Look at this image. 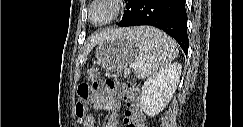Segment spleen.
<instances>
[{"label": "spleen", "instance_id": "1", "mask_svg": "<svg viewBox=\"0 0 243 127\" xmlns=\"http://www.w3.org/2000/svg\"><path fill=\"white\" fill-rule=\"evenodd\" d=\"M128 37L133 39L139 50V55L132 64L138 78L154 75L177 57L179 50L176 42L156 28H137Z\"/></svg>", "mask_w": 243, "mask_h": 127}]
</instances>
